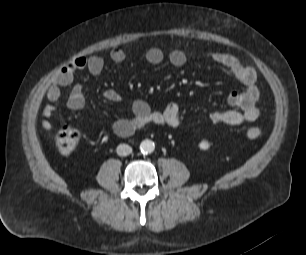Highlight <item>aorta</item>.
I'll list each match as a JSON object with an SVG mask.
<instances>
[{
  "label": "aorta",
  "instance_id": "1",
  "mask_svg": "<svg viewBox=\"0 0 306 255\" xmlns=\"http://www.w3.org/2000/svg\"><path fill=\"white\" fill-rule=\"evenodd\" d=\"M140 151L142 154H151L155 149V144L152 140L146 139L140 143Z\"/></svg>",
  "mask_w": 306,
  "mask_h": 255
}]
</instances>
